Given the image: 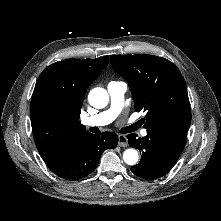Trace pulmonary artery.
Masks as SVG:
<instances>
[{
  "label": "pulmonary artery",
  "mask_w": 221,
  "mask_h": 221,
  "mask_svg": "<svg viewBox=\"0 0 221 221\" xmlns=\"http://www.w3.org/2000/svg\"><path fill=\"white\" fill-rule=\"evenodd\" d=\"M127 90L125 82H110L107 91L110 96L111 105L109 109L91 117L82 120V124L86 126L101 127L110 124L120 113L124 104V95ZM143 136L147 135V130L141 131Z\"/></svg>",
  "instance_id": "e3ab8cb5"
}]
</instances>
